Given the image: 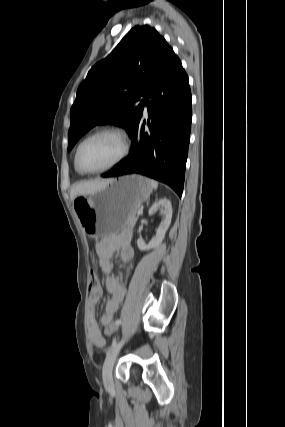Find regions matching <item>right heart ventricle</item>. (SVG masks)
<instances>
[{
	"label": "right heart ventricle",
	"mask_w": 285,
	"mask_h": 427,
	"mask_svg": "<svg viewBox=\"0 0 285 427\" xmlns=\"http://www.w3.org/2000/svg\"><path fill=\"white\" fill-rule=\"evenodd\" d=\"M75 169H76V171H77L78 173L82 174V173L77 169L76 165H75Z\"/></svg>",
	"instance_id": "1"
}]
</instances>
